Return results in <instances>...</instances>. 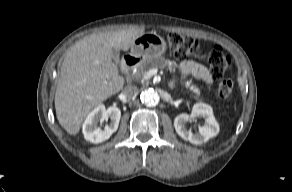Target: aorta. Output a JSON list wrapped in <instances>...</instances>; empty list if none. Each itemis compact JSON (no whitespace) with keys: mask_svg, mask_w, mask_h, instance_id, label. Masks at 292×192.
Returning <instances> with one entry per match:
<instances>
[{"mask_svg":"<svg viewBox=\"0 0 292 192\" xmlns=\"http://www.w3.org/2000/svg\"><path fill=\"white\" fill-rule=\"evenodd\" d=\"M141 102L148 107L156 106L159 102V95L152 88L142 91L140 95Z\"/></svg>","mask_w":292,"mask_h":192,"instance_id":"obj_1","label":"aorta"}]
</instances>
